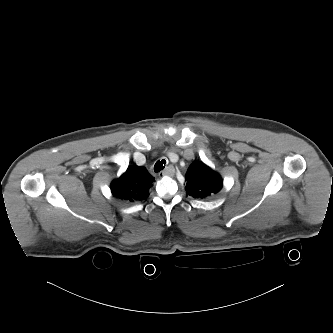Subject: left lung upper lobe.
<instances>
[{
    "label": "left lung upper lobe",
    "mask_w": 333,
    "mask_h": 333,
    "mask_svg": "<svg viewBox=\"0 0 333 333\" xmlns=\"http://www.w3.org/2000/svg\"><path fill=\"white\" fill-rule=\"evenodd\" d=\"M186 195L193 198L215 196L223 186L221 176L202 161H194L186 173Z\"/></svg>",
    "instance_id": "obj_1"
}]
</instances>
